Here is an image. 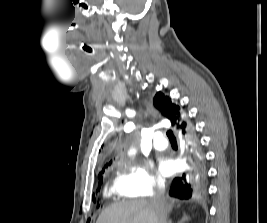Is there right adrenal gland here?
<instances>
[{"label":"right adrenal gland","instance_id":"obj_1","mask_svg":"<svg viewBox=\"0 0 267 223\" xmlns=\"http://www.w3.org/2000/svg\"><path fill=\"white\" fill-rule=\"evenodd\" d=\"M188 221H190V217L184 213L183 217L181 218V220L178 223H186Z\"/></svg>","mask_w":267,"mask_h":223}]
</instances>
